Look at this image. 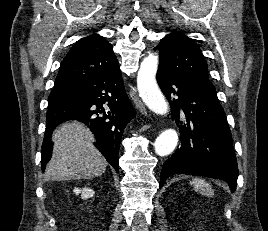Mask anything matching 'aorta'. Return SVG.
Here are the masks:
<instances>
[{
  "instance_id": "aorta-1",
  "label": "aorta",
  "mask_w": 268,
  "mask_h": 231,
  "mask_svg": "<svg viewBox=\"0 0 268 231\" xmlns=\"http://www.w3.org/2000/svg\"><path fill=\"white\" fill-rule=\"evenodd\" d=\"M157 54H150L140 65L137 75V87L139 95L146 106L156 114L166 115L168 112L167 102L156 82L158 68ZM178 133L174 129L164 130L155 141V152L159 156H167L177 146Z\"/></svg>"
}]
</instances>
